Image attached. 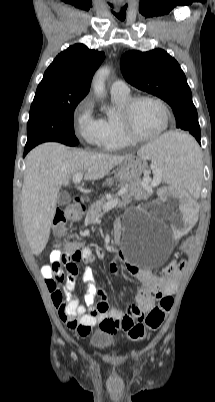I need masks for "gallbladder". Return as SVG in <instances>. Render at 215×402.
<instances>
[{
	"label": "gallbladder",
	"mask_w": 215,
	"mask_h": 402,
	"mask_svg": "<svg viewBox=\"0 0 215 402\" xmlns=\"http://www.w3.org/2000/svg\"><path fill=\"white\" fill-rule=\"evenodd\" d=\"M70 202H71V196L68 193L62 192L58 194L57 203L59 205H66L69 204Z\"/></svg>",
	"instance_id": "bac80fb5"
}]
</instances>
